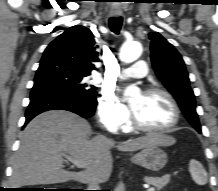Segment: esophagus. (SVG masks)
Returning a JSON list of instances; mask_svg holds the SVG:
<instances>
[{"label":"esophagus","mask_w":218,"mask_h":191,"mask_svg":"<svg viewBox=\"0 0 218 191\" xmlns=\"http://www.w3.org/2000/svg\"><path fill=\"white\" fill-rule=\"evenodd\" d=\"M111 14L115 17H119L122 15V11L119 7H113L111 10Z\"/></svg>","instance_id":"34e87169"}]
</instances>
